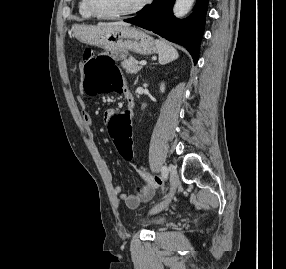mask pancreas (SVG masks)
<instances>
[{
  "label": "pancreas",
  "mask_w": 286,
  "mask_h": 269,
  "mask_svg": "<svg viewBox=\"0 0 286 269\" xmlns=\"http://www.w3.org/2000/svg\"><path fill=\"white\" fill-rule=\"evenodd\" d=\"M139 62L133 57H129L128 59H124L121 62V66L125 69L126 73L136 74L142 66L138 65Z\"/></svg>",
  "instance_id": "pancreas-1"
}]
</instances>
